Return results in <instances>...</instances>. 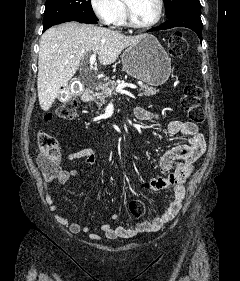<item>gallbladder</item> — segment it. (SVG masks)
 <instances>
[{
    "instance_id": "1",
    "label": "gallbladder",
    "mask_w": 240,
    "mask_h": 281,
    "mask_svg": "<svg viewBox=\"0 0 240 281\" xmlns=\"http://www.w3.org/2000/svg\"><path fill=\"white\" fill-rule=\"evenodd\" d=\"M67 91H68L69 94H71V90H70V89H68ZM61 98H62V96L60 97V99H61Z\"/></svg>"
}]
</instances>
